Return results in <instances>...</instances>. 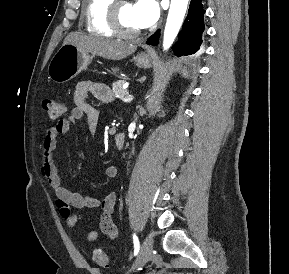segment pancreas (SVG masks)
Returning a JSON list of instances; mask_svg holds the SVG:
<instances>
[{
    "instance_id": "1",
    "label": "pancreas",
    "mask_w": 289,
    "mask_h": 274,
    "mask_svg": "<svg viewBox=\"0 0 289 274\" xmlns=\"http://www.w3.org/2000/svg\"><path fill=\"white\" fill-rule=\"evenodd\" d=\"M125 81L119 80L112 85V93L114 97L122 99L123 97L128 95V90L123 89Z\"/></svg>"
}]
</instances>
